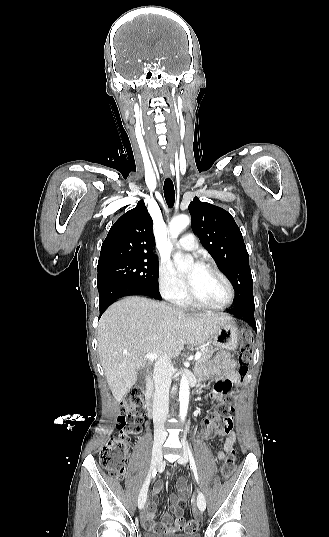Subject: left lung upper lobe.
<instances>
[{
	"label": "left lung upper lobe",
	"instance_id": "left-lung-upper-lobe-1",
	"mask_svg": "<svg viewBox=\"0 0 329 537\" xmlns=\"http://www.w3.org/2000/svg\"><path fill=\"white\" fill-rule=\"evenodd\" d=\"M188 209L195 234L232 282L234 307L255 306L249 255L234 218L226 210L201 202L197 197Z\"/></svg>",
	"mask_w": 329,
	"mask_h": 537
}]
</instances>
